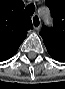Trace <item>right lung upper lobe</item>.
<instances>
[{"label": "right lung upper lobe", "mask_w": 65, "mask_h": 89, "mask_svg": "<svg viewBox=\"0 0 65 89\" xmlns=\"http://www.w3.org/2000/svg\"><path fill=\"white\" fill-rule=\"evenodd\" d=\"M21 0H0V62L11 58L33 29L31 18L23 12Z\"/></svg>", "instance_id": "1"}]
</instances>
